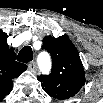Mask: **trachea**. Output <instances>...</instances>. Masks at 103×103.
Returning a JSON list of instances; mask_svg holds the SVG:
<instances>
[{
  "instance_id": "1",
  "label": "trachea",
  "mask_w": 103,
  "mask_h": 103,
  "mask_svg": "<svg viewBox=\"0 0 103 103\" xmlns=\"http://www.w3.org/2000/svg\"><path fill=\"white\" fill-rule=\"evenodd\" d=\"M32 59H33V51L29 46L23 47L17 56V60L23 63H27Z\"/></svg>"
}]
</instances>
